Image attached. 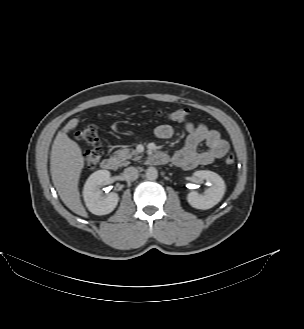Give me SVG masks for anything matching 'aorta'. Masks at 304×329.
<instances>
[{
  "instance_id": "762f6f07",
  "label": "aorta",
  "mask_w": 304,
  "mask_h": 329,
  "mask_svg": "<svg viewBox=\"0 0 304 329\" xmlns=\"http://www.w3.org/2000/svg\"><path fill=\"white\" fill-rule=\"evenodd\" d=\"M158 177V171L156 168L154 167H149L147 170H146V178L148 180H156Z\"/></svg>"
}]
</instances>
